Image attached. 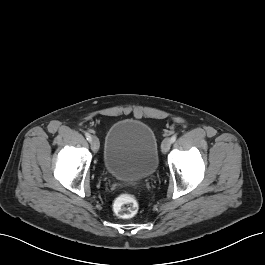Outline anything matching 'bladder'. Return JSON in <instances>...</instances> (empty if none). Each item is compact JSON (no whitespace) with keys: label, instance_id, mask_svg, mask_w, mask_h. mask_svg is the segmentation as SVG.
Returning a JSON list of instances; mask_svg holds the SVG:
<instances>
[{"label":"bladder","instance_id":"31cf9c89","mask_svg":"<svg viewBox=\"0 0 265 265\" xmlns=\"http://www.w3.org/2000/svg\"><path fill=\"white\" fill-rule=\"evenodd\" d=\"M158 142L154 130L145 122L125 118L115 121L107 131L104 166L115 178L146 180L158 167Z\"/></svg>","mask_w":265,"mask_h":265}]
</instances>
